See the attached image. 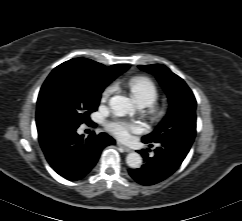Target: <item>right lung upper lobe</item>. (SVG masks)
<instances>
[{"label":"right lung upper lobe","instance_id":"1","mask_svg":"<svg viewBox=\"0 0 242 221\" xmlns=\"http://www.w3.org/2000/svg\"><path fill=\"white\" fill-rule=\"evenodd\" d=\"M128 67L129 66L122 64L105 67L90 59L75 58L57 66L50 75L65 74L77 80L107 85Z\"/></svg>","mask_w":242,"mask_h":221}]
</instances>
